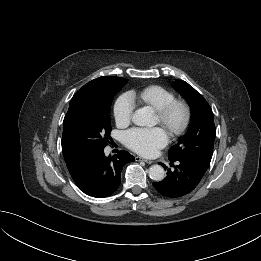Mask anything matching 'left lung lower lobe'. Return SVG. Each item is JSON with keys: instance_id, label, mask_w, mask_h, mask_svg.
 Masks as SVG:
<instances>
[{"instance_id": "obj_1", "label": "left lung lower lobe", "mask_w": 261, "mask_h": 261, "mask_svg": "<svg viewBox=\"0 0 261 261\" xmlns=\"http://www.w3.org/2000/svg\"><path fill=\"white\" fill-rule=\"evenodd\" d=\"M171 160L174 170H168L167 176L160 182H153L154 188L163 196L177 198L189 194L200 183L204 174L194 164L183 160ZM178 165L174 166L173 162ZM164 168H167L162 164Z\"/></svg>"}]
</instances>
